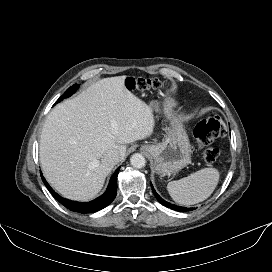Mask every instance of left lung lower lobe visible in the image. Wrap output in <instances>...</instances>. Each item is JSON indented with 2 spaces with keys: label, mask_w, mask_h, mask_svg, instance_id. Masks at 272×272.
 <instances>
[{
  "label": "left lung lower lobe",
  "mask_w": 272,
  "mask_h": 272,
  "mask_svg": "<svg viewBox=\"0 0 272 272\" xmlns=\"http://www.w3.org/2000/svg\"><path fill=\"white\" fill-rule=\"evenodd\" d=\"M151 187H152V191H153L155 197L157 198V200H158L162 205H164V206H166V207H168V208H170V209H172V210H176V211H180V212H182V211L185 212V211L193 210V208H186V207L177 206V205L171 204V203H169V202L163 200V199L156 193V191H155V189L153 188L152 184H151Z\"/></svg>",
  "instance_id": "0a47b994"
}]
</instances>
